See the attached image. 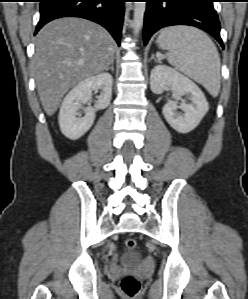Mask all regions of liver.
<instances>
[{"label": "liver", "mask_w": 248, "mask_h": 299, "mask_svg": "<svg viewBox=\"0 0 248 299\" xmlns=\"http://www.w3.org/2000/svg\"><path fill=\"white\" fill-rule=\"evenodd\" d=\"M114 59V41L100 25L81 18H61L36 36L32 61L37 91L48 116L77 83L98 74Z\"/></svg>", "instance_id": "obj_1"}]
</instances>
